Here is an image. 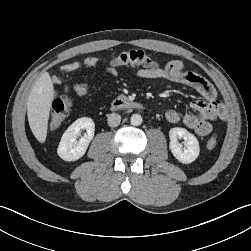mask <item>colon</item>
Wrapping results in <instances>:
<instances>
[{
  "label": "colon",
  "instance_id": "obj_1",
  "mask_svg": "<svg viewBox=\"0 0 251 251\" xmlns=\"http://www.w3.org/2000/svg\"><path fill=\"white\" fill-rule=\"evenodd\" d=\"M114 66H141L145 68H158V63L144 50L132 49L123 51L112 59ZM67 92V89H65ZM71 110V100L67 93L55 99L49 117L48 127L50 131L57 130L65 121ZM217 145L215 137L207 142V148L213 149Z\"/></svg>",
  "mask_w": 251,
  "mask_h": 251
}]
</instances>
